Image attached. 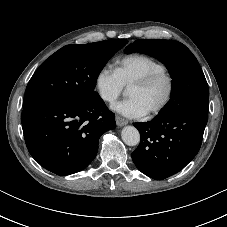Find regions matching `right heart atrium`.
<instances>
[{
  "instance_id": "obj_1",
  "label": "right heart atrium",
  "mask_w": 227,
  "mask_h": 227,
  "mask_svg": "<svg viewBox=\"0 0 227 227\" xmlns=\"http://www.w3.org/2000/svg\"><path fill=\"white\" fill-rule=\"evenodd\" d=\"M94 88L103 102L112 104L122 94L124 85L114 69L103 66L94 77Z\"/></svg>"
}]
</instances>
